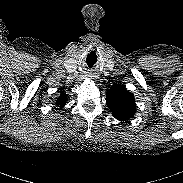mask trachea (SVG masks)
Listing matches in <instances>:
<instances>
[{"label": "trachea", "instance_id": "trachea-1", "mask_svg": "<svg viewBox=\"0 0 183 183\" xmlns=\"http://www.w3.org/2000/svg\"><path fill=\"white\" fill-rule=\"evenodd\" d=\"M87 65L92 67L97 62V56L95 53H90L86 59Z\"/></svg>", "mask_w": 183, "mask_h": 183}]
</instances>
